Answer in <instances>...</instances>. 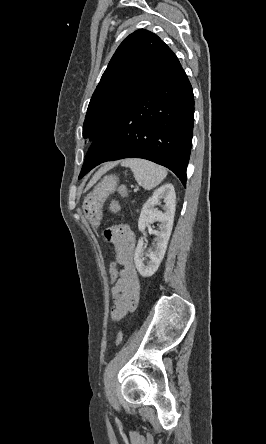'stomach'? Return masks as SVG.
<instances>
[{
    "label": "stomach",
    "instance_id": "obj_1",
    "mask_svg": "<svg viewBox=\"0 0 266 444\" xmlns=\"http://www.w3.org/2000/svg\"><path fill=\"white\" fill-rule=\"evenodd\" d=\"M118 185V178L114 175L105 176L100 183L89 193L82 205L85 218L93 225H99L102 217V207L106 199Z\"/></svg>",
    "mask_w": 266,
    "mask_h": 444
}]
</instances>
